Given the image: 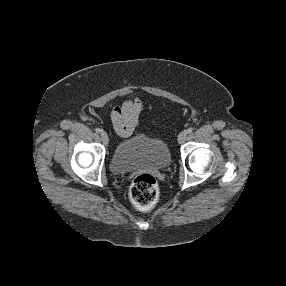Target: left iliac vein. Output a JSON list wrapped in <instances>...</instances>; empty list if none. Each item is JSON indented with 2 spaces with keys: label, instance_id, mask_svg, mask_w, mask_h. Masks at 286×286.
<instances>
[{
  "label": "left iliac vein",
  "instance_id": "obj_1",
  "mask_svg": "<svg viewBox=\"0 0 286 286\" xmlns=\"http://www.w3.org/2000/svg\"><path fill=\"white\" fill-rule=\"evenodd\" d=\"M186 138H187V131H182L178 136V143L179 144L184 143Z\"/></svg>",
  "mask_w": 286,
  "mask_h": 286
}]
</instances>
